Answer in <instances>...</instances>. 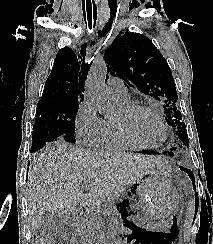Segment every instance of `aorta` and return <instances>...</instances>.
<instances>
[{"instance_id": "1", "label": "aorta", "mask_w": 213, "mask_h": 244, "mask_svg": "<svg viewBox=\"0 0 213 244\" xmlns=\"http://www.w3.org/2000/svg\"><path fill=\"white\" fill-rule=\"evenodd\" d=\"M106 75L107 65L104 61L93 64L87 76L86 92L100 114L109 118L117 112L119 102L109 94L105 87ZM115 244H120L119 239L115 241Z\"/></svg>"}]
</instances>
